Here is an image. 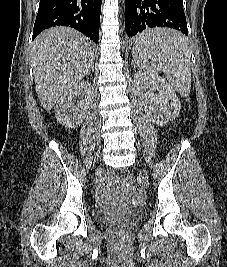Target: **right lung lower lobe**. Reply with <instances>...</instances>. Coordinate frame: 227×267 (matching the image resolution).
I'll list each match as a JSON object with an SVG mask.
<instances>
[{
	"mask_svg": "<svg viewBox=\"0 0 227 267\" xmlns=\"http://www.w3.org/2000/svg\"><path fill=\"white\" fill-rule=\"evenodd\" d=\"M102 0H40L33 29L34 39L53 26H70L97 43Z\"/></svg>",
	"mask_w": 227,
	"mask_h": 267,
	"instance_id": "98d812e1",
	"label": "right lung lower lobe"
}]
</instances>
